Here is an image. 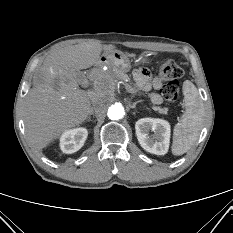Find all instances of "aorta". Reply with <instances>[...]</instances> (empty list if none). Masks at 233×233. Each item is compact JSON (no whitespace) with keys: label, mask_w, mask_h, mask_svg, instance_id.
<instances>
[{"label":"aorta","mask_w":233,"mask_h":233,"mask_svg":"<svg viewBox=\"0 0 233 233\" xmlns=\"http://www.w3.org/2000/svg\"><path fill=\"white\" fill-rule=\"evenodd\" d=\"M107 115L111 120H119L124 116V108L120 103H108Z\"/></svg>","instance_id":"obj_1"}]
</instances>
